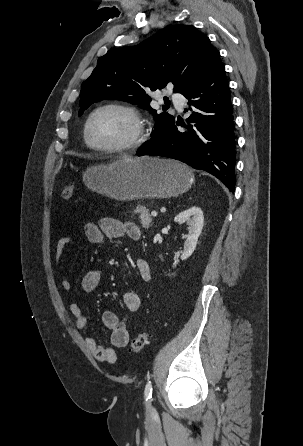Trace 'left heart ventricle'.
<instances>
[{
    "mask_svg": "<svg viewBox=\"0 0 303 446\" xmlns=\"http://www.w3.org/2000/svg\"><path fill=\"white\" fill-rule=\"evenodd\" d=\"M134 123L118 110L99 112L90 125V138L98 146H116L128 141L134 133Z\"/></svg>",
    "mask_w": 303,
    "mask_h": 446,
    "instance_id": "1",
    "label": "left heart ventricle"
}]
</instances>
